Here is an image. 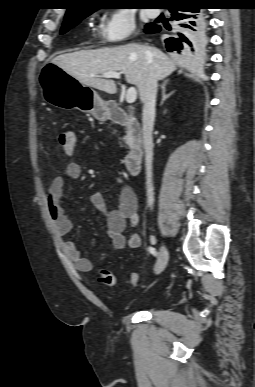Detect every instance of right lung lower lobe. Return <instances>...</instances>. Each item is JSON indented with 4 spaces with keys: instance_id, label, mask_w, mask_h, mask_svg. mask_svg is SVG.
Instances as JSON below:
<instances>
[{
    "instance_id": "right-lung-lower-lobe-1",
    "label": "right lung lower lobe",
    "mask_w": 255,
    "mask_h": 387,
    "mask_svg": "<svg viewBox=\"0 0 255 387\" xmlns=\"http://www.w3.org/2000/svg\"><path fill=\"white\" fill-rule=\"evenodd\" d=\"M168 10L174 27H166L167 33L172 35L163 40L167 50L199 57L205 42V19L201 4L196 0H179L171 3ZM160 30L161 26L155 24L145 27L148 34Z\"/></svg>"
}]
</instances>
